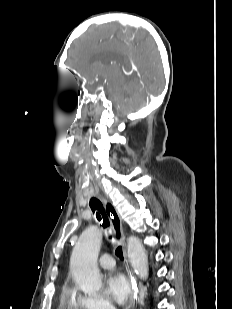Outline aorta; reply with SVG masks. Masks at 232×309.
Segmentation results:
<instances>
[{"instance_id":"obj_1","label":"aorta","mask_w":232,"mask_h":309,"mask_svg":"<svg viewBox=\"0 0 232 309\" xmlns=\"http://www.w3.org/2000/svg\"><path fill=\"white\" fill-rule=\"evenodd\" d=\"M102 242V233L90 226L80 236L71 255L72 277L79 288L86 293L101 289L102 278L97 260ZM128 257L131 266L141 279L149 273L148 256L142 242L135 236L128 238Z\"/></svg>"}]
</instances>
